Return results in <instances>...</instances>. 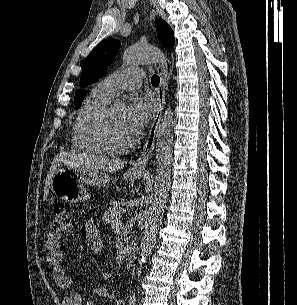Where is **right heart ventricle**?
I'll list each match as a JSON object with an SVG mask.
<instances>
[{
  "instance_id": "right-heart-ventricle-1",
  "label": "right heart ventricle",
  "mask_w": 297,
  "mask_h": 305,
  "mask_svg": "<svg viewBox=\"0 0 297 305\" xmlns=\"http://www.w3.org/2000/svg\"><path fill=\"white\" fill-rule=\"evenodd\" d=\"M110 100L111 97L104 93L98 85L83 100L72 125L71 142L75 149L91 154L105 152L93 137L91 124L98 114L107 107Z\"/></svg>"
}]
</instances>
